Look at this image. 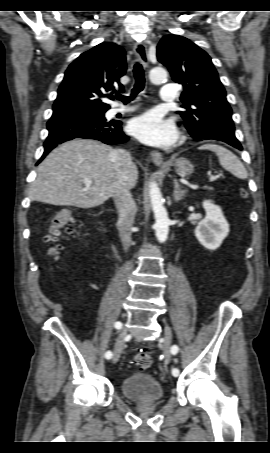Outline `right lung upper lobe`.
Here are the masks:
<instances>
[{
	"label": "right lung upper lobe",
	"mask_w": 270,
	"mask_h": 453,
	"mask_svg": "<svg viewBox=\"0 0 270 453\" xmlns=\"http://www.w3.org/2000/svg\"><path fill=\"white\" fill-rule=\"evenodd\" d=\"M126 72V57L122 47L103 42L81 54L71 63L58 89L52 117L78 114L89 110H108L101 98L122 89L119 79Z\"/></svg>",
	"instance_id": "cb5924a9"
}]
</instances>
